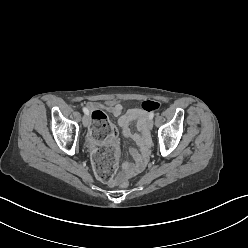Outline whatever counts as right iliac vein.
Masks as SVG:
<instances>
[{
  "label": "right iliac vein",
  "mask_w": 248,
  "mask_h": 248,
  "mask_svg": "<svg viewBox=\"0 0 248 248\" xmlns=\"http://www.w3.org/2000/svg\"><path fill=\"white\" fill-rule=\"evenodd\" d=\"M82 122H83L84 127H88V125L90 123V118L87 114L83 116Z\"/></svg>",
  "instance_id": "obj_1"
}]
</instances>
